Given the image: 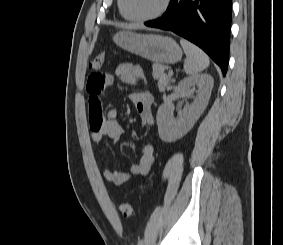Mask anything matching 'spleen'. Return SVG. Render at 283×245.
<instances>
[{"label":"spleen","mask_w":283,"mask_h":245,"mask_svg":"<svg viewBox=\"0 0 283 245\" xmlns=\"http://www.w3.org/2000/svg\"><path fill=\"white\" fill-rule=\"evenodd\" d=\"M180 44L187 56L184 62V71L187 75L195 76L209 66V58L202 49L186 39H181Z\"/></svg>","instance_id":"obj_1"}]
</instances>
